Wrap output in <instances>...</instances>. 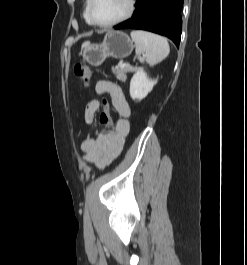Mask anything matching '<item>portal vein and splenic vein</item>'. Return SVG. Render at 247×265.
<instances>
[{"mask_svg": "<svg viewBox=\"0 0 247 265\" xmlns=\"http://www.w3.org/2000/svg\"><path fill=\"white\" fill-rule=\"evenodd\" d=\"M120 66L121 67H130L131 68V66L129 64H121Z\"/></svg>", "mask_w": 247, "mask_h": 265, "instance_id": "portal-vein-and-splenic-vein-1", "label": "portal vein and splenic vein"}]
</instances>
